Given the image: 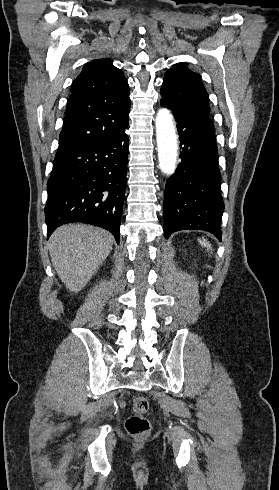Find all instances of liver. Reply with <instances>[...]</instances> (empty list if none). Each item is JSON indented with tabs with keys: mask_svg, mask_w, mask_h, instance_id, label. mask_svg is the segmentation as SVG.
<instances>
[{
	"mask_svg": "<svg viewBox=\"0 0 279 490\" xmlns=\"http://www.w3.org/2000/svg\"><path fill=\"white\" fill-rule=\"evenodd\" d=\"M53 268L69 292H80L113 248L110 232L85 224L57 228L49 240Z\"/></svg>",
	"mask_w": 279,
	"mask_h": 490,
	"instance_id": "6515ba94",
	"label": "liver"
}]
</instances>
